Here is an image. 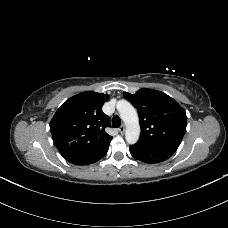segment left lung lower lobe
I'll return each instance as SVG.
<instances>
[{"instance_id": "1", "label": "left lung lower lobe", "mask_w": 228, "mask_h": 228, "mask_svg": "<svg viewBox=\"0 0 228 228\" xmlns=\"http://www.w3.org/2000/svg\"><path fill=\"white\" fill-rule=\"evenodd\" d=\"M130 153L135 159L145 163H159L171 157L174 152L162 148L143 147L135 144L130 146Z\"/></svg>"}]
</instances>
